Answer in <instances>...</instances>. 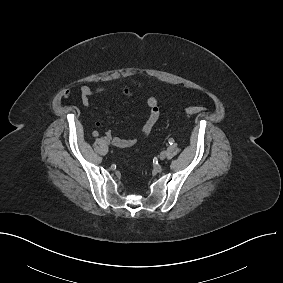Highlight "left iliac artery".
Segmentation results:
<instances>
[{
	"label": "left iliac artery",
	"instance_id": "44dca946",
	"mask_svg": "<svg viewBox=\"0 0 283 283\" xmlns=\"http://www.w3.org/2000/svg\"><path fill=\"white\" fill-rule=\"evenodd\" d=\"M173 143H174V139H173V138H170V139H169V144L172 145Z\"/></svg>",
	"mask_w": 283,
	"mask_h": 283
}]
</instances>
